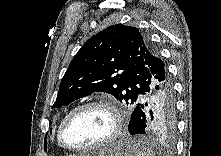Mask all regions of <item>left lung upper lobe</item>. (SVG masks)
<instances>
[{
	"label": "left lung upper lobe",
	"mask_w": 221,
	"mask_h": 156,
	"mask_svg": "<svg viewBox=\"0 0 221 156\" xmlns=\"http://www.w3.org/2000/svg\"><path fill=\"white\" fill-rule=\"evenodd\" d=\"M164 70L156 50L136 27L112 25L87 40L72 59L53 107L99 91L134 108L148 93L151 76Z\"/></svg>",
	"instance_id": "5c2ea615"
}]
</instances>
